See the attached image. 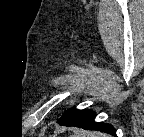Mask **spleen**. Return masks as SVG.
<instances>
[{
  "instance_id": "obj_1",
  "label": "spleen",
  "mask_w": 144,
  "mask_h": 137,
  "mask_svg": "<svg viewBox=\"0 0 144 137\" xmlns=\"http://www.w3.org/2000/svg\"><path fill=\"white\" fill-rule=\"evenodd\" d=\"M74 137H108L105 133L100 132H90V131H80L74 135Z\"/></svg>"
}]
</instances>
